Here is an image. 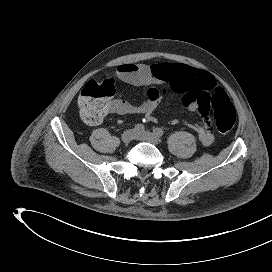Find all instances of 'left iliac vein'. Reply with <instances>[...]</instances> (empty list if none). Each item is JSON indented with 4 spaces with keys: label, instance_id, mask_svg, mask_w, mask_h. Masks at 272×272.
I'll return each instance as SVG.
<instances>
[{
    "label": "left iliac vein",
    "instance_id": "left-iliac-vein-1",
    "mask_svg": "<svg viewBox=\"0 0 272 272\" xmlns=\"http://www.w3.org/2000/svg\"><path fill=\"white\" fill-rule=\"evenodd\" d=\"M136 139L142 140V141H147V142L152 143L154 145L159 144L158 137L156 135H154L153 133L148 132V131L137 132Z\"/></svg>",
    "mask_w": 272,
    "mask_h": 272
}]
</instances>
